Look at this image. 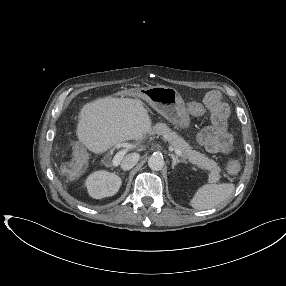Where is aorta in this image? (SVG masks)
Masks as SVG:
<instances>
[{
    "instance_id": "1",
    "label": "aorta",
    "mask_w": 286,
    "mask_h": 286,
    "mask_svg": "<svg viewBox=\"0 0 286 286\" xmlns=\"http://www.w3.org/2000/svg\"><path fill=\"white\" fill-rule=\"evenodd\" d=\"M148 166L151 170L159 171L164 167V159L161 155L155 154L149 157Z\"/></svg>"
}]
</instances>
